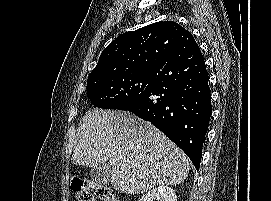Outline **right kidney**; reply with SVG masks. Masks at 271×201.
I'll use <instances>...</instances> for the list:
<instances>
[{"mask_svg": "<svg viewBox=\"0 0 271 201\" xmlns=\"http://www.w3.org/2000/svg\"><path fill=\"white\" fill-rule=\"evenodd\" d=\"M140 201H177V197L172 188L162 185L147 192Z\"/></svg>", "mask_w": 271, "mask_h": 201, "instance_id": "right-kidney-1", "label": "right kidney"}]
</instances>
